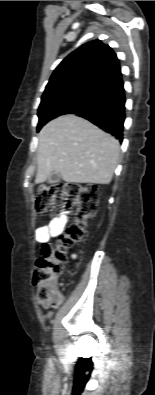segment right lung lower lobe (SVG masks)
I'll list each match as a JSON object with an SVG mask.
<instances>
[{
    "label": "right lung lower lobe",
    "instance_id": "98d812e1",
    "mask_svg": "<svg viewBox=\"0 0 155 395\" xmlns=\"http://www.w3.org/2000/svg\"><path fill=\"white\" fill-rule=\"evenodd\" d=\"M121 76L111 79L86 102L68 112L89 120L120 142L125 120V91Z\"/></svg>",
    "mask_w": 155,
    "mask_h": 395
}]
</instances>
